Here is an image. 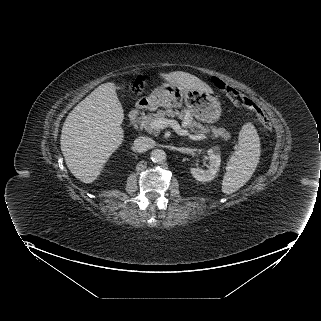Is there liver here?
<instances>
[{
  "label": "liver",
  "instance_id": "6515ba94",
  "mask_svg": "<svg viewBox=\"0 0 321 321\" xmlns=\"http://www.w3.org/2000/svg\"><path fill=\"white\" fill-rule=\"evenodd\" d=\"M159 77L187 89H212L196 76L175 71ZM114 83L98 86L67 116L61 132V151L70 172L83 183L95 181L112 153L122 144L124 110Z\"/></svg>",
  "mask_w": 321,
  "mask_h": 321
}]
</instances>
